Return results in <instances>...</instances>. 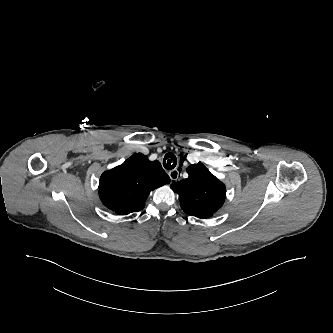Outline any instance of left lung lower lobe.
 <instances>
[{"instance_id":"obj_1","label":"left lung lower lobe","mask_w":333,"mask_h":333,"mask_svg":"<svg viewBox=\"0 0 333 333\" xmlns=\"http://www.w3.org/2000/svg\"><path fill=\"white\" fill-rule=\"evenodd\" d=\"M197 217H199V218H207V217H209V216H204V215H196Z\"/></svg>"}]
</instances>
